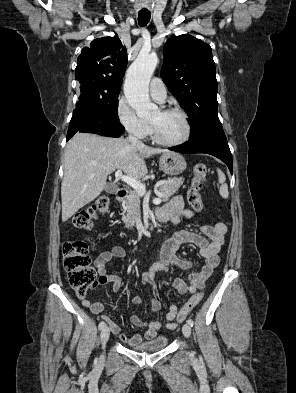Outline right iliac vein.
Wrapping results in <instances>:
<instances>
[{"instance_id": "obj_1", "label": "right iliac vein", "mask_w": 296, "mask_h": 393, "mask_svg": "<svg viewBox=\"0 0 296 393\" xmlns=\"http://www.w3.org/2000/svg\"><path fill=\"white\" fill-rule=\"evenodd\" d=\"M109 335H110V329L105 326L102 331H101V342H102V347L104 348L106 345V342L109 339Z\"/></svg>"}]
</instances>
